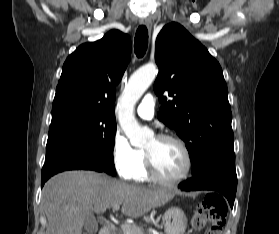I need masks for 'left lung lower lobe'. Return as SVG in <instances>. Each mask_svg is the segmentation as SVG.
Instances as JSON below:
<instances>
[{
	"label": "left lung lower lobe",
	"instance_id": "1",
	"mask_svg": "<svg viewBox=\"0 0 279 234\" xmlns=\"http://www.w3.org/2000/svg\"><path fill=\"white\" fill-rule=\"evenodd\" d=\"M179 187L186 191L203 189L218 191L227 198L233 208L237 189L235 160L216 162L201 173L192 175V178L185 183H180Z\"/></svg>",
	"mask_w": 279,
	"mask_h": 234
}]
</instances>
